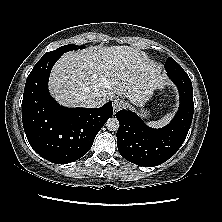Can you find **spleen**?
<instances>
[{
  "label": "spleen",
  "instance_id": "1",
  "mask_svg": "<svg viewBox=\"0 0 222 222\" xmlns=\"http://www.w3.org/2000/svg\"><path fill=\"white\" fill-rule=\"evenodd\" d=\"M172 116H173V114L169 113L158 121L148 122L147 125L150 126V127H153V128L163 127V126L167 125L170 122V120L172 119Z\"/></svg>",
  "mask_w": 222,
  "mask_h": 222
}]
</instances>
